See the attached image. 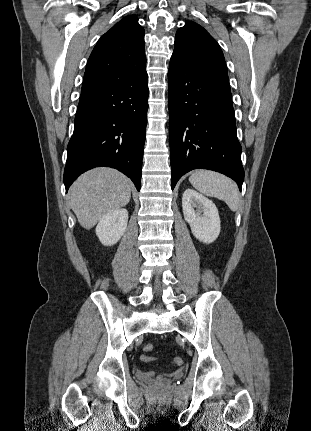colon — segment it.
<instances>
[{"label":"colon","instance_id":"5ec220e1","mask_svg":"<svg viewBox=\"0 0 311 431\" xmlns=\"http://www.w3.org/2000/svg\"><path fill=\"white\" fill-rule=\"evenodd\" d=\"M153 348H154V346L152 345V344H146L145 346H144V351H146V352H150V351H152L153 350ZM140 359H141V361H143V362H153L155 359L153 358V357H151V356H149V355H142L141 357H140ZM173 363L175 364V365H177V366H180V365H182L183 363H184V360H183V358L182 357H175L174 359H173Z\"/></svg>","mask_w":311,"mask_h":431}]
</instances>
